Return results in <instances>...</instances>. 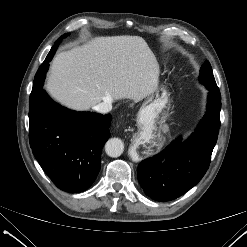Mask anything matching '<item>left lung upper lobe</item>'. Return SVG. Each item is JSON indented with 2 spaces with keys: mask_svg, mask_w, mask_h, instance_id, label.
Returning a JSON list of instances; mask_svg holds the SVG:
<instances>
[{
  "mask_svg": "<svg viewBox=\"0 0 247 247\" xmlns=\"http://www.w3.org/2000/svg\"><path fill=\"white\" fill-rule=\"evenodd\" d=\"M200 81L205 85L207 89L215 92H220L215 82L211 65L208 61H205L200 69Z\"/></svg>",
  "mask_w": 247,
  "mask_h": 247,
  "instance_id": "left-lung-upper-lobe-1",
  "label": "left lung upper lobe"
}]
</instances>
